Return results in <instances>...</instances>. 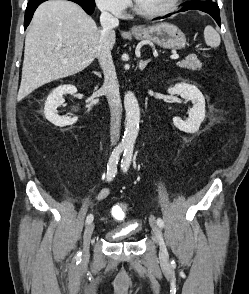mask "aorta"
<instances>
[{
  "label": "aorta",
  "mask_w": 249,
  "mask_h": 294,
  "mask_svg": "<svg viewBox=\"0 0 249 294\" xmlns=\"http://www.w3.org/2000/svg\"><path fill=\"white\" fill-rule=\"evenodd\" d=\"M124 107L126 111L125 117V131L122 139L124 147L132 148L136 141L139 122H140V108L137 98L132 92H127L124 96Z\"/></svg>",
  "instance_id": "obj_1"
}]
</instances>
